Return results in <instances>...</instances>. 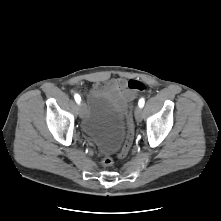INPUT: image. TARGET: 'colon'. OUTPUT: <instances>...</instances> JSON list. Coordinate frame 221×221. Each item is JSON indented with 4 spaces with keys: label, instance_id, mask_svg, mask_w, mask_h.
<instances>
[{
    "label": "colon",
    "instance_id": "colon-1",
    "mask_svg": "<svg viewBox=\"0 0 221 221\" xmlns=\"http://www.w3.org/2000/svg\"><path fill=\"white\" fill-rule=\"evenodd\" d=\"M128 88L133 92H142L146 89V84L141 80L132 79V80H129L128 82ZM131 142H132V130L130 129L127 134L125 143L122 147V150L118 154V158L122 159L127 156L131 147ZM113 164H114V160L110 156H105L102 160V165L104 166L108 167V166H112Z\"/></svg>",
    "mask_w": 221,
    "mask_h": 221
}]
</instances>
